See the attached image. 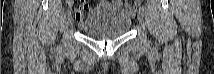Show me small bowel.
Masks as SVG:
<instances>
[{"label":"small bowel","mask_w":214,"mask_h":74,"mask_svg":"<svg viewBox=\"0 0 214 74\" xmlns=\"http://www.w3.org/2000/svg\"><path fill=\"white\" fill-rule=\"evenodd\" d=\"M110 6L116 7V6H123V5L121 1H102L98 4V6L95 9H93L86 2H82L75 8V19L78 25L81 27L85 19L86 11L91 13L97 9H103ZM123 7L126 8L131 13V15H133L134 10L131 6L125 5Z\"/></svg>","instance_id":"small-bowel-1"}]
</instances>
